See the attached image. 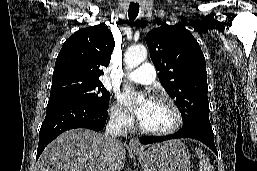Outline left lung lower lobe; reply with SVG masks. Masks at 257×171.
I'll use <instances>...</instances> for the list:
<instances>
[{
  "label": "left lung lower lobe",
  "mask_w": 257,
  "mask_h": 171,
  "mask_svg": "<svg viewBox=\"0 0 257 171\" xmlns=\"http://www.w3.org/2000/svg\"><path fill=\"white\" fill-rule=\"evenodd\" d=\"M177 138H192L199 140L207 145L218 156L217 149L214 143V134L211 124L200 121L191 122L187 125H183V128L181 130L172 135L161 137H141L140 142L143 144H150Z\"/></svg>",
  "instance_id": "0a47b994"
}]
</instances>
